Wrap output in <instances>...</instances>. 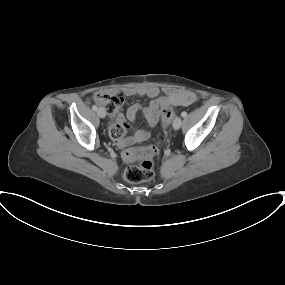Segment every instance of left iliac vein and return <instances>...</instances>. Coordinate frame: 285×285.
Wrapping results in <instances>:
<instances>
[{"label":"left iliac vein","mask_w":285,"mask_h":285,"mask_svg":"<svg viewBox=\"0 0 285 285\" xmlns=\"http://www.w3.org/2000/svg\"><path fill=\"white\" fill-rule=\"evenodd\" d=\"M181 124H182V120L181 118L177 117L174 122H173V128L175 130L179 129L181 127Z\"/></svg>","instance_id":"1"}]
</instances>
